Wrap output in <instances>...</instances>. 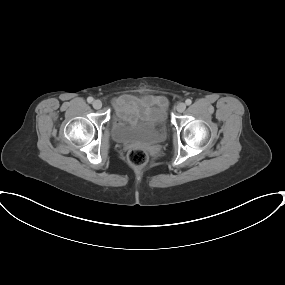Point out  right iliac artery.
Here are the masks:
<instances>
[{
	"mask_svg": "<svg viewBox=\"0 0 285 285\" xmlns=\"http://www.w3.org/2000/svg\"><path fill=\"white\" fill-rule=\"evenodd\" d=\"M87 101H88V103H92L93 102V98L92 97H88Z\"/></svg>",
	"mask_w": 285,
	"mask_h": 285,
	"instance_id": "82829eb1",
	"label": "right iliac artery"
}]
</instances>
